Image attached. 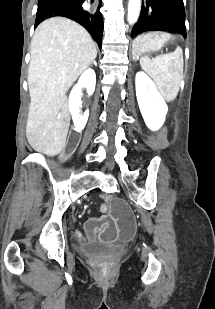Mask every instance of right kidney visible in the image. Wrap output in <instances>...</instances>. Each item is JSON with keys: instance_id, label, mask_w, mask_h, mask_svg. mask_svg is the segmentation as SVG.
I'll return each mask as SVG.
<instances>
[{"instance_id": "ca27d5eb", "label": "right kidney", "mask_w": 215, "mask_h": 309, "mask_svg": "<svg viewBox=\"0 0 215 309\" xmlns=\"http://www.w3.org/2000/svg\"><path fill=\"white\" fill-rule=\"evenodd\" d=\"M95 84H96L95 70H93V68H87V70H84V72H82L77 84L73 86L70 92L69 108L72 114L73 122L77 130H82V128H84L89 116V110H85L83 114H80L79 106H81L82 104L81 88L82 86H85V88H87L88 94H93L95 90ZM74 110H77V120H75L74 118Z\"/></svg>"}]
</instances>
